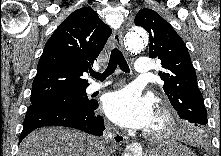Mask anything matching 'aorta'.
I'll list each match as a JSON object with an SVG mask.
<instances>
[{"label":"aorta","instance_id":"1","mask_svg":"<svg viewBox=\"0 0 221 156\" xmlns=\"http://www.w3.org/2000/svg\"><path fill=\"white\" fill-rule=\"evenodd\" d=\"M124 44L129 52L137 53L148 44V35L143 29L133 27L125 34ZM123 156H142V153L140 150H129Z\"/></svg>","mask_w":221,"mask_h":156}]
</instances>
